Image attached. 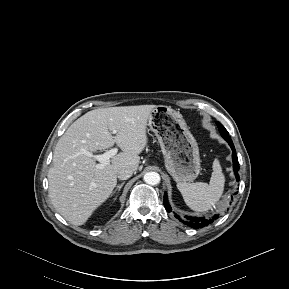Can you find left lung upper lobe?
<instances>
[{
    "label": "left lung upper lobe",
    "instance_id": "left-lung-upper-lobe-1",
    "mask_svg": "<svg viewBox=\"0 0 289 289\" xmlns=\"http://www.w3.org/2000/svg\"><path fill=\"white\" fill-rule=\"evenodd\" d=\"M216 124H217L219 131L223 137L229 136L228 131L225 129V127L220 122H216Z\"/></svg>",
    "mask_w": 289,
    "mask_h": 289
}]
</instances>
